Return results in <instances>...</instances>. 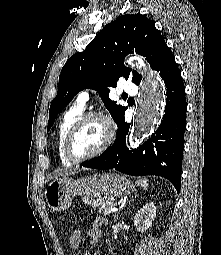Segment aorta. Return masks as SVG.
I'll use <instances>...</instances> for the list:
<instances>
[{
	"mask_svg": "<svg viewBox=\"0 0 221 255\" xmlns=\"http://www.w3.org/2000/svg\"><path fill=\"white\" fill-rule=\"evenodd\" d=\"M128 64L132 68L135 67L142 71L144 75L129 137V147L135 148L141 140L150 136L160 124L165 103V92L157 76L147 70L142 58L131 57Z\"/></svg>",
	"mask_w": 221,
	"mask_h": 255,
	"instance_id": "aorta-1",
	"label": "aorta"
}]
</instances>
